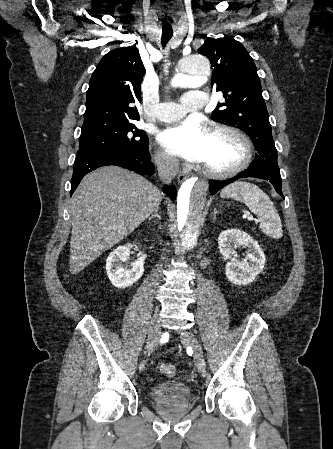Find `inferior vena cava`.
<instances>
[{
  "instance_id": "inferior-vena-cava-1",
  "label": "inferior vena cava",
  "mask_w": 333,
  "mask_h": 449,
  "mask_svg": "<svg viewBox=\"0 0 333 449\" xmlns=\"http://www.w3.org/2000/svg\"><path fill=\"white\" fill-rule=\"evenodd\" d=\"M155 162L160 180L164 183H170L178 172V160L170 155L161 154L156 157Z\"/></svg>"
}]
</instances>
